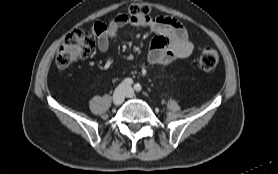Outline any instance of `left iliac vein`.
I'll use <instances>...</instances> for the list:
<instances>
[{
    "label": "left iliac vein",
    "mask_w": 278,
    "mask_h": 174,
    "mask_svg": "<svg viewBox=\"0 0 278 174\" xmlns=\"http://www.w3.org/2000/svg\"><path fill=\"white\" fill-rule=\"evenodd\" d=\"M125 93H126V97H128V98L135 97V94L130 87H125Z\"/></svg>",
    "instance_id": "1"
}]
</instances>
